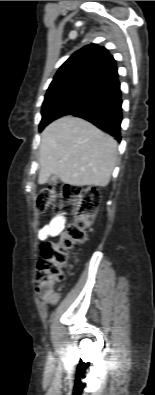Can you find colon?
<instances>
[{"instance_id":"colon-1","label":"colon","mask_w":155,"mask_h":395,"mask_svg":"<svg viewBox=\"0 0 155 395\" xmlns=\"http://www.w3.org/2000/svg\"><path fill=\"white\" fill-rule=\"evenodd\" d=\"M63 202L71 206L74 219L61 231L56 241L42 244L36 271L38 297L48 303L58 300L54 288L64 278L70 253L87 240L99 207L100 194L94 187L52 184L39 192L36 208L43 213Z\"/></svg>"}]
</instances>
